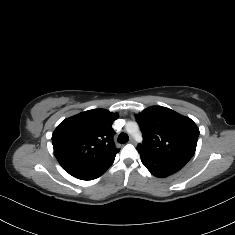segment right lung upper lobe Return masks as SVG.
<instances>
[{"mask_svg": "<svg viewBox=\"0 0 235 235\" xmlns=\"http://www.w3.org/2000/svg\"><path fill=\"white\" fill-rule=\"evenodd\" d=\"M118 117L105 109H93L62 121L53 132L52 143L64 170L93 173L108 169L119 152L112 129Z\"/></svg>", "mask_w": 235, "mask_h": 235, "instance_id": "cb5924a9", "label": "right lung upper lobe"}]
</instances>
